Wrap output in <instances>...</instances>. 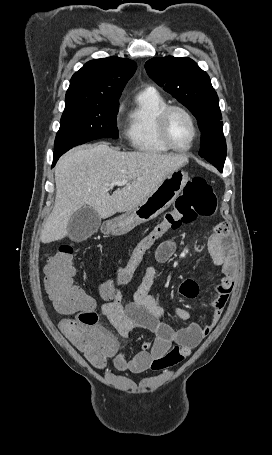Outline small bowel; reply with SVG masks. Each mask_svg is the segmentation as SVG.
<instances>
[{
    "mask_svg": "<svg viewBox=\"0 0 272 455\" xmlns=\"http://www.w3.org/2000/svg\"><path fill=\"white\" fill-rule=\"evenodd\" d=\"M208 249L214 264L220 268L222 277L215 288L216 293L211 302L212 314L207 324L190 322L183 328L174 329L164 321L167 312L150 294L156 277L154 266L146 269L131 303L122 305V287L116 286L113 296L101 305V313L121 337L129 338L136 329L149 331L155 336L153 343H144L140 351L130 359L124 354H118L114 361L117 369L132 373L168 369L188 357L216 326L228 302L236 276V257L226 223H219L215 227L208 241ZM175 250L174 241H163L156 250V260L166 262ZM179 292L188 299L196 298L199 294L198 282L193 279L184 281ZM173 314L182 320L190 318V313L182 308L175 309Z\"/></svg>",
    "mask_w": 272,
    "mask_h": 455,
    "instance_id": "c3829d8e",
    "label": "small bowel"
}]
</instances>
